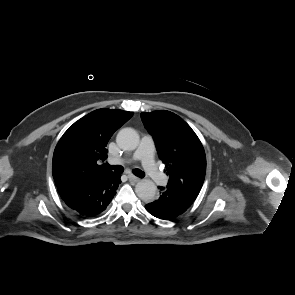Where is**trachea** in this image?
I'll return each instance as SVG.
<instances>
[{"label":"trachea","instance_id":"trachea-1","mask_svg":"<svg viewBox=\"0 0 295 295\" xmlns=\"http://www.w3.org/2000/svg\"><path fill=\"white\" fill-rule=\"evenodd\" d=\"M107 168L113 169L116 173H123L124 168L121 165L113 166L110 164H105ZM133 174L136 175L137 177L143 178L145 176V173L141 171L140 169H133L132 170Z\"/></svg>","mask_w":295,"mask_h":295}]
</instances>
